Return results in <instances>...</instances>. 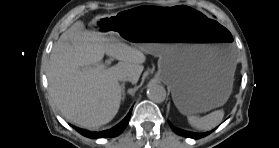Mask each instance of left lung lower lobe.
<instances>
[{
  "instance_id": "left-lung-lower-lobe-1",
  "label": "left lung lower lobe",
  "mask_w": 279,
  "mask_h": 148,
  "mask_svg": "<svg viewBox=\"0 0 279 148\" xmlns=\"http://www.w3.org/2000/svg\"><path fill=\"white\" fill-rule=\"evenodd\" d=\"M171 128H172V130L175 133H177V134H179L181 136L188 137V138H193V139L202 138L204 136H207L211 132H213V130H212V131H209V132H206V133H191V132L183 131V130H180V129H176V128L172 127V126H171Z\"/></svg>"
}]
</instances>
